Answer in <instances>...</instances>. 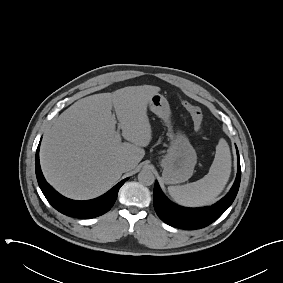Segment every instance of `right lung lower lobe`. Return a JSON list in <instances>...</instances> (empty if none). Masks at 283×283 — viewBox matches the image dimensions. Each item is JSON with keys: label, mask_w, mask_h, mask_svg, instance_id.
I'll use <instances>...</instances> for the list:
<instances>
[{"label": "right lung lower lobe", "mask_w": 283, "mask_h": 283, "mask_svg": "<svg viewBox=\"0 0 283 283\" xmlns=\"http://www.w3.org/2000/svg\"><path fill=\"white\" fill-rule=\"evenodd\" d=\"M37 181L48 202L59 212L75 218H94L111 209L116 201L119 188L127 179L119 182L106 194L93 200L75 201L60 195L45 180L39 163V146L35 158Z\"/></svg>", "instance_id": "right-lung-lower-lobe-1"}]
</instances>
